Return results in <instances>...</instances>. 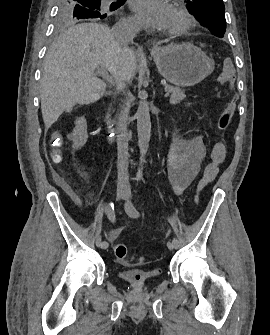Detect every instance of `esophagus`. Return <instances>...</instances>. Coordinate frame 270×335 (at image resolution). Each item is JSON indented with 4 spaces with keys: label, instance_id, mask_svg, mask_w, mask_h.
<instances>
[{
    "label": "esophagus",
    "instance_id": "obj_1",
    "mask_svg": "<svg viewBox=\"0 0 270 335\" xmlns=\"http://www.w3.org/2000/svg\"><path fill=\"white\" fill-rule=\"evenodd\" d=\"M151 43L153 45V49H157L158 48V46L155 44V42H151Z\"/></svg>",
    "mask_w": 270,
    "mask_h": 335
}]
</instances>
